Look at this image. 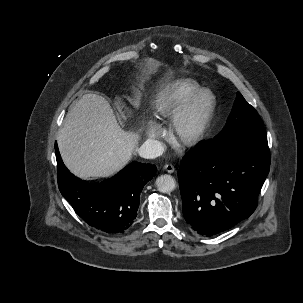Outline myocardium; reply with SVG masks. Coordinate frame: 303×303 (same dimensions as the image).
<instances>
[{"label":"myocardium","mask_w":303,"mask_h":303,"mask_svg":"<svg viewBox=\"0 0 303 303\" xmlns=\"http://www.w3.org/2000/svg\"><path fill=\"white\" fill-rule=\"evenodd\" d=\"M216 105V96L210 89H199L173 115L171 129L175 139L186 146L198 143L210 125ZM197 114L195 122L191 123Z\"/></svg>","instance_id":"1"}]
</instances>
